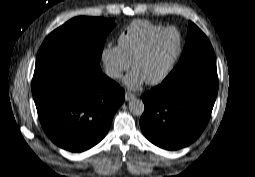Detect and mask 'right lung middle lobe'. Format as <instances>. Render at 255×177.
Masks as SVG:
<instances>
[{
	"instance_id": "right-lung-middle-lobe-1",
	"label": "right lung middle lobe",
	"mask_w": 255,
	"mask_h": 177,
	"mask_svg": "<svg viewBox=\"0 0 255 177\" xmlns=\"http://www.w3.org/2000/svg\"><path fill=\"white\" fill-rule=\"evenodd\" d=\"M114 26L113 19L80 16L69 20L46 37L36 66L70 61L99 68L105 39Z\"/></svg>"
}]
</instances>
